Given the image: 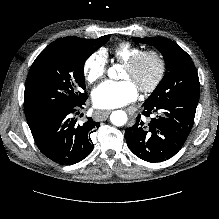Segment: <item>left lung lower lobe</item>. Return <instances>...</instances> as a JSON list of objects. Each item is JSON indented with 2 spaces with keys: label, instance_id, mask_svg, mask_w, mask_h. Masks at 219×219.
<instances>
[{
  "label": "left lung lower lobe",
  "instance_id": "obj_1",
  "mask_svg": "<svg viewBox=\"0 0 219 219\" xmlns=\"http://www.w3.org/2000/svg\"><path fill=\"white\" fill-rule=\"evenodd\" d=\"M199 94H187L165 103L143 104V115H160L147 124L137 116L133 127L125 130L130 150L148 162H161L174 156L186 141L193 123Z\"/></svg>",
  "mask_w": 219,
  "mask_h": 219
}]
</instances>
